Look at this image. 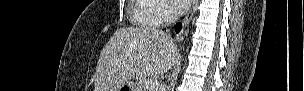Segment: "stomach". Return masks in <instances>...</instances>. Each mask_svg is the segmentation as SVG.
Segmentation results:
<instances>
[{
	"label": "stomach",
	"mask_w": 304,
	"mask_h": 91,
	"mask_svg": "<svg viewBox=\"0 0 304 91\" xmlns=\"http://www.w3.org/2000/svg\"><path fill=\"white\" fill-rule=\"evenodd\" d=\"M120 90H128V91H136L133 87L124 85L120 88Z\"/></svg>",
	"instance_id": "1"
}]
</instances>
